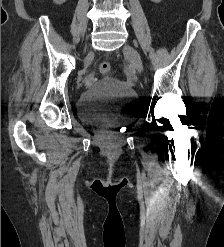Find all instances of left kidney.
Instances as JSON below:
<instances>
[{"mask_svg": "<svg viewBox=\"0 0 224 247\" xmlns=\"http://www.w3.org/2000/svg\"><path fill=\"white\" fill-rule=\"evenodd\" d=\"M151 2H155V4H159V2H162V0H151Z\"/></svg>", "mask_w": 224, "mask_h": 247, "instance_id": "5707ae66", "label": "left kidney"}]
</instances>
